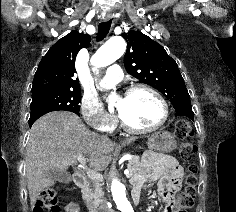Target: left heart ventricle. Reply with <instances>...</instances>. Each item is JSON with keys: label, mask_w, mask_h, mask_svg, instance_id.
Instances as JSON below:
<instances>
[{"label": "left heart ventricle", "mask_w": 236, "mask_h": 212, "mask_svg": "<svg viewBox=\"0 0 236 212\" xmlns=\"http://www.w3.org/2000/svg\"><path fill=\"white\" fill-rule=\"evenodd\" d=\"M118 114L134 128H149L160 121L162 106L157 98L145 90L124 95L116 101Z\"/></svg>", "instance_id": "left-heart-ventricle-1"}]
</instances>
